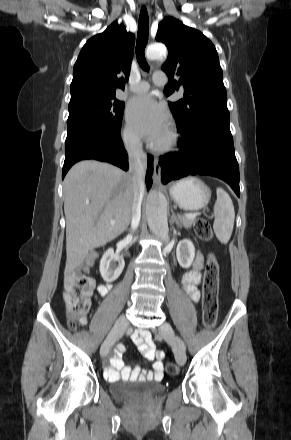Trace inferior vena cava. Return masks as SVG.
Here are the masks:
<instances>
[{
	"instance_id": "1",
	"label": "inferior vena cava",
	"mask_w": 291,
	"mask_h": 440,
	"mask_svg": "<svg viewBox=\"0 0 291 440\" xmlns=\"http://www.w3.org/2000/svg\"><path fill=\"white\" fill-rule=\"evenodd\" d=\"M129 156V173L132 175L134 185V200L132 206L131 229L138 228L141 218V203L145 191V173L147 157L142 149L139 139H133L127 148Z\"/></svg>"
}]
</instances>
